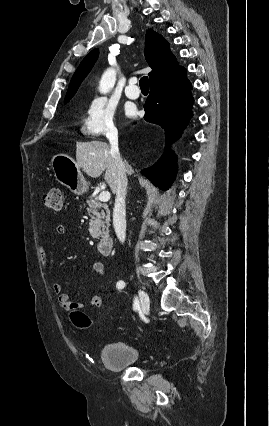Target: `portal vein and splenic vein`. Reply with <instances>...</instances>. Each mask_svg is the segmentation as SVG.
I'll use <instances>...</instances> for the list:
<instances>
[{
    "instance_id": "obj_1",
    "label": "portal vein and splenic vein",
    "mask_w": 269,
    "mask_h": 426,
    "mask_svg": "<svg viewBox=\"0 0 269 426\" xmlns=\"http://www.w3.org/2000/svg\"><path fill=\"white\" fill-rule=\"evenodd\" d=\"M99 200L101 202H108L110 200V193L108 191H102L99 194Z\"/></svg>"
}]
</instances>
